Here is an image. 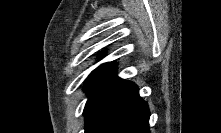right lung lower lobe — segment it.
Wrapping results in <instances>:
<instances>
[{
  "instance_id": "1",
  "label": "right lung lower lobe",
  "mask_w": 221,
  "mask_h": 133,
  "mask_svg": "<svg viewBox=\"0 0 221 133\" xmlns=\"http://www.w3.org/2000/svg\"><path fill=\"white\" fill-rule=\"evenodd\" d=\"M84 109L85 133H149L150 111L138 87L112 69L93 83Z\"/></svg>"
}]
</instances>
